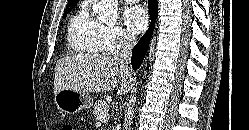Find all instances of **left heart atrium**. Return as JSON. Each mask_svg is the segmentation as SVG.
Instances as JSON below:
<instances>
[{
    "label": "left heart atrium",
    "mask_w": 249,
    "mask_h": 130,
    "mask_svg": "<svg viewBox=\"0 0 249 130\" xmlns=\"http://www.w3.org/2000/svg\"><path fill=\"white\" fill-rule=\"evenodd\" d=\"M122 16L126 27L134 34L142 32L148 24V14L146 10L139 5L125 8Z\"/></svg>",
    "instance_id": "obj_1"
}]
</instances>
